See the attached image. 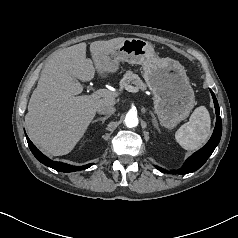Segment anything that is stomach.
<instances>
[{
    "label": "stomach",
    "mask_w": 238,
    "mask_h": 238,
    "mask_svg": "<svg viewBox=\"0 0 238 238\" xmlns=\"http://www.w3.org/2000/svg\"><path fill=\"white\" fill-rule=\"evenodd\" d=\"M103 56L101 63L109 73L116 72L121 61L142 65L143 77L153 93L154 111L162 126L171 129L188 117L195 96L186 70L178 61L158 57L153 45L139 38H126Z\"/></svg>",
    "instance_id": "0dacf381"
}]
</instances>
